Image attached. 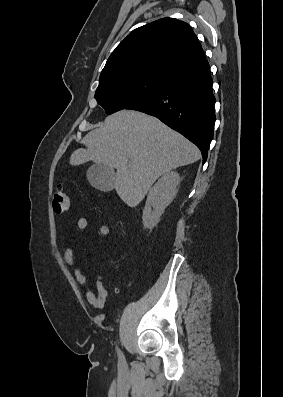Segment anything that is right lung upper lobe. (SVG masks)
Instances as JSON below:
<instances>
[{
  "label": "right lung upper lobe",
  "mask_w": 283,
  "mask_h": 397,
  "mask_svg": "<svg viewBox=\"0 0 283 397\" xmlns=\"http://www.w3.org/2000/svg\"><path fill=\"white\" fill-rule=\"evenodd\" d=\"M208 65L190 25L163 18L133 30L110 55L100 80L145 74L169 81Z\"/></svg>",
  "instance_id": "1"
}]
</instances>
